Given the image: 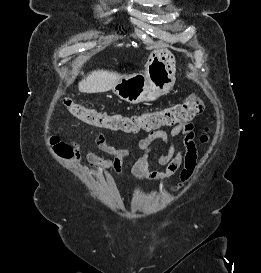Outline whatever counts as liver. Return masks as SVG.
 <instances>
[{
    "label": "liver",
    "mask_w": 261,
    "mask_h": 273,
    "mask_svg": "<svg viewBox=\"0 0 261 273\" xmlns=\"http://www.w3.org/2000/svg\"><path fill=\"white\" fill-rule=\"evenodd\" d=\"M122 77L123 75L117 72L100 69L95 70L79 82L78 89L83 93L105 92L113 88Z\"/></svg>",
    "instance_id": "1"
}]
</instances>
